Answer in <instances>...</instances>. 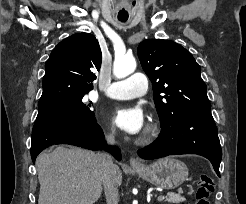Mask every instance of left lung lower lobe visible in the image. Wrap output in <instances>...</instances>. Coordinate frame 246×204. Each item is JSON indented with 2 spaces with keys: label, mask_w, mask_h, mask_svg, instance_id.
<instances>
[{
  "label": "left lung lower lobe",
  "mask_w": 246,
  "mask_h": 204,
  "mask_svg": "<svg viewBox=\"0 0 246 204\" xmlns=\"http://www.w3.org/2000/svg\"><path fill=\"white\" fill-rule=\"evenodd\" d=\"M161 128L157 140L138 151L141 158L151 160L168 155L197 154L209 159L220 176L222 150L211 113L176 117L170 124Z\"/></svg>",
  "instance_id": "0a47b994"
}]
</instances>
